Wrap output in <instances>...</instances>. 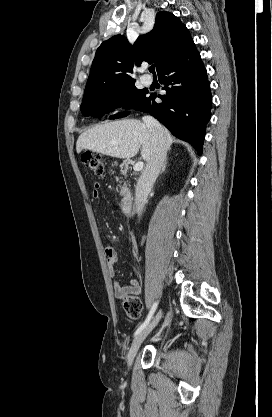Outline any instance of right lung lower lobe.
<instances>
[{"label":"right lung lower lobe","mask_w":272,"mask_h":417,"mask_svg":"<svg viewBox=\"0 0 272 417\" xmlns=\"http://www.w3.org/2000/svg\"><path fill=\"white\" fill-rule=\"evenodd\" d=\"M165 95L151 94L139 109L157 118L173 135L202 154L206 124L211 117L212 95L206 69L192 41L159 72ZM159 97L162 103L155 99Z\"/></svg>","instance_id":"1"}]
</instances>
